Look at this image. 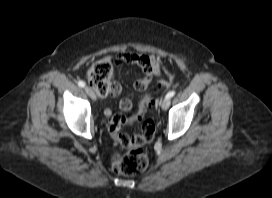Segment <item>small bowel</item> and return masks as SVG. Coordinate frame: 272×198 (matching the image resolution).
<instances>
[{
  "label": "small bowel",
  "instance_id": "1",
  "mask_svg": "<svg viewBox=\"0 0 272 198\" xmlns=\"http://www.w3.org/2000/svg\"><path fill=\"white\" fill-rule=\"evenodd\" d=\"M117 63L134 64V65H137V66L141 67L142 69H144V74L140 78H138L137 80L144 79L146 77L152 78L154 76H159L162 71V64L158 59H156L154 57H150L145 54H137L134 52L120 53L118 56V59H117ZM135 82H134V86H135ZM112 88H113L112 94H110L108 96H110V97L118 96L121 92L120 84L118 82L114 81ZM135 88H136V86H135ZM119 107L123 111H129L132 107V102L130 99L124 98L120 101ZM112 113H113L112 109H110V108H106L104 110V114L107 117H110L112 115Z\"/></svg>",
  "mask_w": 272,
  "mask_h": 198
}]
</instances>
